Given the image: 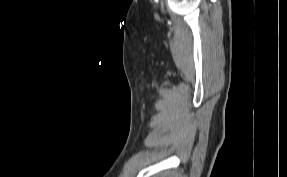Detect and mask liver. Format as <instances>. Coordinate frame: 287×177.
<instances>
[{
    "mask_svg": "<svg viewBox=\"0 0 287 177\" xmlns=\"http://www.w3.org/2000/svg\"><path fill=\"white\" fill-rule=\"evenodd\" d=\"M160 177H167V174L164 173V174H162Z\"/></svg>",
    "mask_w": 287,
    "mask_h": 177,
    "instance_id": "liver-1",
    "label": "liver"
}]
</instances>
